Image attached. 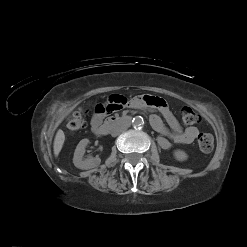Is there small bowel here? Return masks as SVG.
<instances>
[{
	"label": "small bowel",
	"instance_id": "obj_1",
	"mask_svg": "<svg viewBox=\"0 0 247 247\" xmlns=\"http://www.w3.org/2000/svg\"><path fill=\"white\" fill-rule=\"evenodd\" d=\"M128 105V99L120 94L111 96L107 104L100 103L95 107L96 114L92 117L91 126L94 130L101 124L104 115H110L113 112L122 110ZM130 107L141 110H150L153 113L150 115V123L152 127L160 134L157 139L158 145L162 149H169L171 143L190 144L197 136L199 131L196 127H188L183 129L171 112L169 106L164 99L154 96H138L129 102ZM157 111L166 121L168 127L164 124L162 118L154 113Z\"/></svg>",
	"mask_w": 247,
	"mask_h": 247
}]
</instances>
